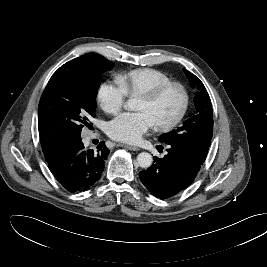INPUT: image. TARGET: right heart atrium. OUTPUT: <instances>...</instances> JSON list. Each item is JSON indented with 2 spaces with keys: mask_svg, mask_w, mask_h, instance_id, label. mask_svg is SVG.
I'll use <instances>...</instances> for the list:
<instances>
[{
  "mask_svg": "<svg viewBox=\"0 0 267 267\" xmlns=\"http://www.w3.org/2000/svg\"><path fill=\"white\" fill-rule=\"evenodd\" d=\"M127 93L117 83L105 82L101 84L97 93V102L100 108L108 114H116L125 105Z\"/></svg>",
  "mask_w": 267,
  "mask_h": 267,
  "instance_id": "d8ad5b80",
  "label": "right heart atrium"
}]
</instances>
